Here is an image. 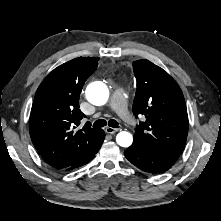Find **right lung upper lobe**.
<instances>
[{"mask_svg": "<svg viewBox=\"0 0 221 221\" xmlns=\"http://www.w3.org/2000/svg\"><path fill=\"white\" fill-rule=\"evenodd\" d=\"M98 60L80 57L58 66L35 94L30 137L42 158L55 169H66L91 156L100 143L102 129L91 128L89 122L79 127L85 117L79 110V96Z\"/></svg>", "mask_w": 221, "mask_h": 221, "instance_id": "1", "label": "right lung upper lobe"}]
</instances>
